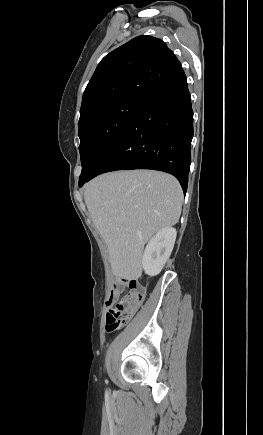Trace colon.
<instances>
[{"label":"colon","instance_id":"obj_1","mask_svg":"<svg viewBox=\"0 0 263 435\" xmlns=\"http://www.w3.org/2000/svg\"><path fill=\"white\" fill-rule=\"evenodd\" d=\"M114 289L126 293L107 311V332H113L124 326L137 312L145 296L144 288L135 279L121 280Z\"/></svg>","mask_w":263,"mask_h":435}]
</instances>
